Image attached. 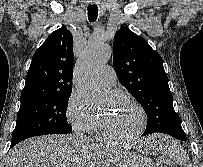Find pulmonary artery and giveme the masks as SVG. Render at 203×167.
<instances>
[{"instance_id":"obj_1","label":"pulmonary artery","mask_w":203,"mask_h":167,"mask_svg":"<svg viewBox=\"0 0 203 167\" xmlns=\"http://www.w3.org/2000/svg\"><path fill=\"white\" fill-rule=\"evenodd\" d=\"M115 81L116 74L111 66H103L95 74V83L102 89H110Z\"/></svg>"}]
</instances>
